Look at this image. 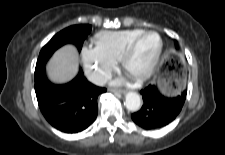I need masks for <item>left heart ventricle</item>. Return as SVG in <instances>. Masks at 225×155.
Here are the masks:
<instances>
[{
    "instance_id": "1",
    "label": "left heart ventricle",
    "mask_w": 225,
    "mask_h": 155,
    "mask_svg": "<svg viewBox=\"0 0 225 155\" xmlns=\"http://www.w3.org/2000/svg\"><path fill=\"white\" fill-rule=\"evenodd\" d=\"M159 47V39L156 35L145 36L138 44L134 54L127 64V72L132 75L143 73L153 60Z\"/></svg>"
}]
</instances>
